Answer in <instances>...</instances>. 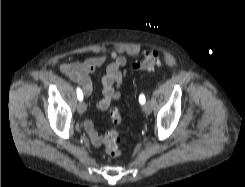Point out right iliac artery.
I'll use <instances>...</instances> for the list:
<instances>
[{
    "label": "right iliac artery",
    "mask_w": 245,
    "mask_h": 187,
    "mask_svg": "<svg viewBox=\"0 0 245 187\" xmlns=\"http://www.w3.org/2000/svg\"><path fill=\"white\" fill-rule=\"evenodd\" d=\"M77 98H78L79 101L83 100V93H82V90L79 87L77 88Z\"/></svg>",
    "instance_id": "right-iliac-artery-1"
}]
</instances>
